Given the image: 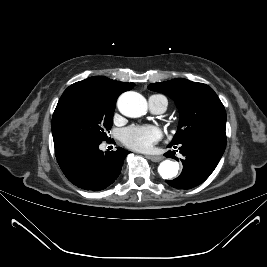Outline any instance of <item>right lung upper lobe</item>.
<instances>
[{"label": "right lung upper lobe", "mask_w": 267, "mask_h": 267, "mask_svg": "<svg viewBox=\"0 0 267 267\" xmlns=\"http://www.w3.org/2000/svg\"><path fill=\"white\" fill-rule=\"evenodd\" d=\"M74 84H84L96 87L115 101L122 92L132 89L135 85L134 83H124L111 80L104 76L90 77Z\"/></svg>", "instance_id": "cb5924a9"}]
</instances>
